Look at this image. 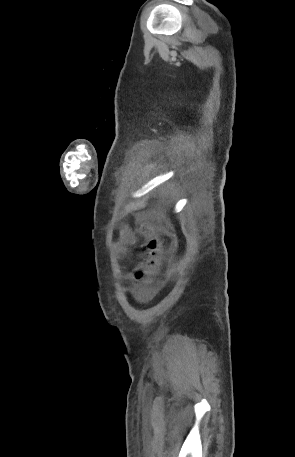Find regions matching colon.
Listing matches in <instances>:
<instances>
[{
	"label": "colon",
	"mask_w": 295,
	"mask_h": 457,
	"mask_svg": "<svg viewBox=\"0 0 295 457\" xmlns=\"http://www.w3.org/2000/svg\"><path fill=\"white\" fill-rule=\"evenodd\" d=\"M142 231L144 233L142 247L145 253V260L141 267L134 272L136 281H143L147 275L153 272L161 260L164 248L171 241L169 235L156 231L150 225L143 226Z\"/></svg>",
	"instance_id": "colon-1"
}]
</instances>
